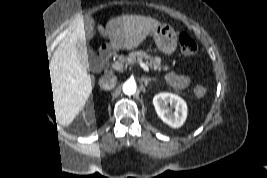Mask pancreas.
Here are the masks:
<instances>
[{
  "mask_svg": "<svg viewBox=\"0 0 267 178\" xmlns=\"http://www.w3.org/2000/svg\"><path fill=\"white\" fill-rule=\"evenodd\" d=\"M145 61L146 65L149 66L151 69H154L155 71L161 70V59L159 57H152L150 55H147L145 53L137 52L135 55L130 57V62H139Z\"/></svg>",
  "mask_w": 267,
  "mask_h": 178,
  "instance_id": "pancreas-1",
  "label": "pancreas"
}]
</instances>
